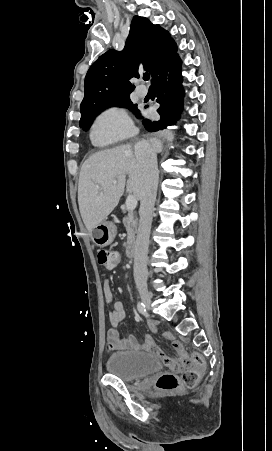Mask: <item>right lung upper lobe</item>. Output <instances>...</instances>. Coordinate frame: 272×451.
Wrapping results in <instances>:
<instances>
[{
	"instance_id": "cb5924a9",
	"label": "right lung upper lobe",
	"mask_w": 272,
	"mask_h": 451,
	"mask_svg": "<svg viewBox=\"0 0 272 451\" xmlns=\"http://www.w3.org/2000/svg\"><path fill=\"white\" fill-rule=\"evenodd\" d=\"M170 34L147 18L134 16L124 49H110L90 67L85 77L84 98L80 111L130 98L139 70L149 71L152 79L177 55Z\"/></svg>"
}]
</instances>
